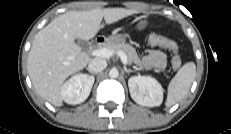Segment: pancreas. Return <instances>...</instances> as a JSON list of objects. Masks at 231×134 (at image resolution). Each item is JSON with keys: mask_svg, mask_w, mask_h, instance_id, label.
I'll return each mask as SVG.
<instances>
[{"mask_svg": "<svg viewBox=\"0 0 231 134\" xmlns=\"http://www.w3.org/2000/svg\"><path fill=\"white\" fill-rule=\"evenodd\" d=\"M104 48L113 50L114 52L122 51L127 56V60L129 64L133 62V58L136 54V51L133 47H131L129 44H126L124 42H110L104 44Z\"/></svg>", "mask_w": 231, "mask_h": 134, "instance_id": "1", "label": "pancreas"}]
</instances>
